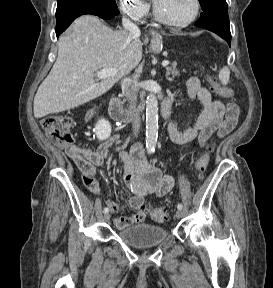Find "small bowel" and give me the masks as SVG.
<instances>
[{
	"instance_id": "c3829d8e",
	"label": "small bowel",
	"mask_w": 273,
	"mask_h": 288,
	"mask_svg": "<svg viewBox=\"0 0 273 288\" xmlns=\"http://www.w3.org/2000/svg\"><path fill=\"white\" fill-rule=\"evenodd\" d=\"M186 87L189 97L197 98L203 105V110L194 126L184 131H179L171 121L168 122V130L173 142L186 144L197 140L201 146H205L214 133L223 137L236 127L239 108L235 103H223L212 99L209 90L203 87L196 77L189 78ZM94 115L95 109L90 110L84 118L85 123L89 122ZM111 141L112 139L96 149L77 145L67 149V155L82 173L85 186L94 194L99 193L95 167L106 158ZM119 156L124 164L126 187L132 193L129 205L137 211L131 216L114 219L115 226L122 229L143 223L146 219L143 210L145 197L150 194L158 197L165 196L172 190L174 178L171 175L163 174L152 164L145 162L144 153L140 146H134L130 152L121 150ZM107 205L113 213L119 208V205L114 201H107Z\"/></svg>"
}]
</instances>
